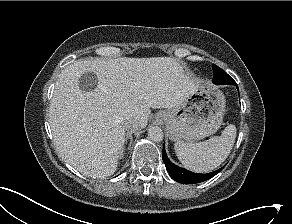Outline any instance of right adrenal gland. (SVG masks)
<instances>
[{"instance_id": "obj_1", "label": "right adrenal gland", "mask_w": 292, "mask_h": 224, "mask_svg": "<svg viewBox=\"0 0 292 224\" xmlns=\"http://www.w3.org/2000/svg\"><path fill=\"white\" fill-rule=\"evenodd\" d=\"M128 139H130L129 146L131 147V144L133 142L132 132L126 134L125 141L127 142Z\"/></svg>"}]
</instances>
